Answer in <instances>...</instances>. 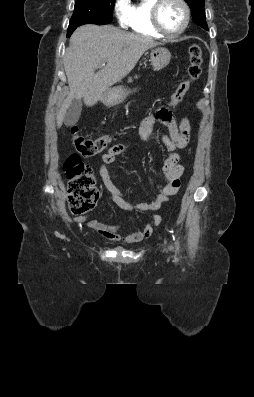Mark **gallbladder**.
<instances>
[{
  "mask_svg": "<svg viewBox=\"0 0 254 397\" xmlns=\"http://www.w3.org/2000/svg\"><path fill=\"white\" fill-rule=\"evenodd\" d=\"M82 111V103L78 99H74L64 116V123L66 126H73L80 118Z\"/></svg>",
  "mask_w": 254,
  "mask_h": 397,
  "instance_id": "obj_1",
  "label": "gallbladder"
}]
</instances>
